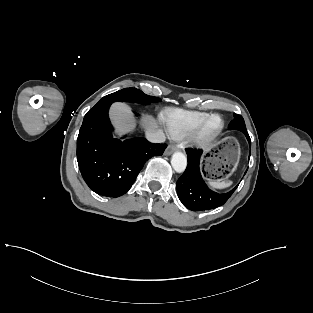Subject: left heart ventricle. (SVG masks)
<instances>
[{
  "instance_id": "b2bd125f",
  "label": "left heart ventricle",
  "mask_w": 313,
  "mask_h": 313,
  "mask_svg": "<svg viewBox=\"0 0 313 313\" xmlns=\"http://www.w3.org/2000/svg\"><path fill=\"white\" fill-rule=\"evenodd\" d=\"M220 126V120L218 118H213L207 125L205 129L206 134H211L215 132Z\"/></svg>"
}]
</instances>
